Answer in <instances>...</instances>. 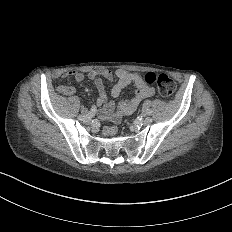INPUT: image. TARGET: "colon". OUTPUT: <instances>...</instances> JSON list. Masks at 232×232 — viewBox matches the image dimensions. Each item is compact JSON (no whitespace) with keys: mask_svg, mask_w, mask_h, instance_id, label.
I'll return each mask as SVG.
<instances>
[{"mask_svg":"<svg viewBox=\"0 0 232 232\" xmlns=\"http://www.w3.org/2000/svg\"><path fill=\"white\" fill-rule=\"evenodd\" d=\"M145 81L149 85L157 86V91H163L160 93V98H168V101H173L175 82L171 81L167 75L151 71L146 74Z\"/></svg>","mask_w":232,"mask_h":232,"instance_id":"colon-1","label":"colon"}]
</instances>
